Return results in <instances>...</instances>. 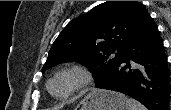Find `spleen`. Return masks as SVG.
<instances>
[{"label":"spleen","instance_id":"1","mask_svg":"<svg viewBox=\"0 0 171 110\" xmlns=\"http://www.w3.org/2000/svg\"><path fill=\"white\" fill-rule=\"evenodd\" d=\"M126 110H146V108L134 99L126 100Z\"/></svg>","mask_w":171,"mask_h":110}]
</instances>
